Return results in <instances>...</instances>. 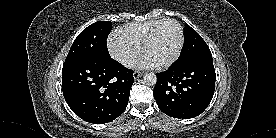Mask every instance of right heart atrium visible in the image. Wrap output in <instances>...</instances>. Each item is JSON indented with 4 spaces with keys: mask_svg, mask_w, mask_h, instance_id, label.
<instances>
[{
    "mask_svg": "<svg viewBox=\"0 0 276 138\" xmlns=\"http://www.w3.org/2000/svg\"><path fill=\"white\" fill-rule=\"evenodd\" d=\"M110 55L124 67H131L140 55V49L129 41L113 34L108 39Z\"/></svg>",
    "mask_w": 276,
    "mask_h": 138,
    "instance_id": "obj_1",
    "label": "right heart atrium"
}]
</instances>
